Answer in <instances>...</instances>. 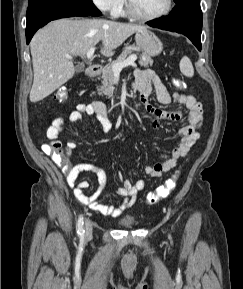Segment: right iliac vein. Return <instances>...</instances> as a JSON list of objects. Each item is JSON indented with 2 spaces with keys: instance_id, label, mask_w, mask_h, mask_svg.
I'll return each mask as SVG.
<instances>
[{
  "instance_id": "obj_1",
  "label": "right iliac vein",
  "mask_w": 243,
  "mask_h": 289,
  "mask_svg": "<svg viewBox=\"0 0 243 289\" xmlns=\"http://www.w3.org/2000/svg\"><path fill=\"white\" fill-rule=\"evenodd\" d=\"M92 231H93L92 223L89 220H87L85 224V238L86 239L92 236Z\"/></svg>"
}]
</instances>
